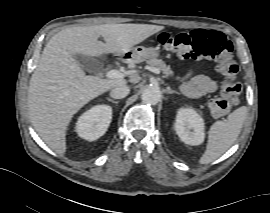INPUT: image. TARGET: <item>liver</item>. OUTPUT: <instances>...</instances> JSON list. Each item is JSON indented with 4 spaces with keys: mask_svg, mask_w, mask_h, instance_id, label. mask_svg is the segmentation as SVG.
<instances>
[{
    "mask_svg": "<svg viewBox=\"0 0 270 213\" xmlns=\"http://www.w3.org/2000/svg\"><path fill=\"white\" fill-rule=\"evenodd\" d=\"M149 24H104L70 27L56 33L43 49L28 89L32 125L57 154L66 152V130L73 117L92 99L126 80L86 75L75 54L123 56L134 45L163 30ZM102 36L104 43L98 41Z\"/></svg>",
    "mask_w": 270,
    "mask_h": 213,
    "instance_id": "6515ba94",
    "label": "liver"
}]
</instances>
